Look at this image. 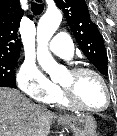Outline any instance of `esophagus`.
<instances>
[{"instance_id":"obj_1","label":"esophagus","mask_w":117,"mask_h":136,"mask_svg":"<svg viewBox=\"0 0 117 136\" xmlns=\"http://www.w3.org/2000/svg\"><path fill=\"white\" fill-rule=\"evenodd\" d=\"M37 3H42L43 2V0H35ZM60 118H63V119H65V118H67L65 115H60L59 116Z\"/></svg>"}]
</instances>
